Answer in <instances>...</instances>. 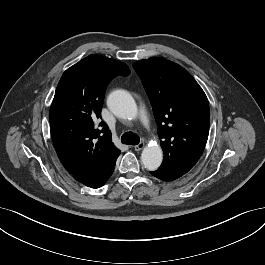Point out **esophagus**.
Instances as JSON below:
<instances>
[{"label": "esophagus", "instance_id": "obj_1", "mask_svg": "<svg viewBox=\"0 0 265 265\" xmlns=\"http://www.w3.org/2000/svg\"><path fill=\"white\" fill-rule=\"evenodd\" d=\"M145 147V143L141 142L134 146L135 151H140Z\"/></svg>", "mask_w": 265, "mask_h": 265}]
</instances>
